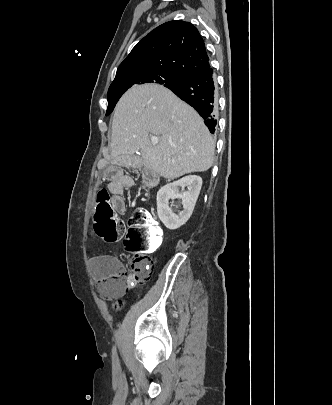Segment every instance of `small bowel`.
Returning <instances> with one entry per match:
<instances>
[{
	"instance_id": "1",
	"label": "small bowel",
	"mask_w": 332,
	"mask_h": 405,
	"mask_svg": "<svg viewBox=\"0 0 332 405\" xmlns=\"http://www.w3.org/2000/svg\"><path fill=\"white\" fill-rule=\"evenodd\" d=\"M103 176L107 177L106 185L113 192L110 204L115 215H127L128 208L125 206V194L122 190L129 187L131 178L125 175V168H121L119 162H112L110 168L103 169ZM115 177H119V180L117 181ZM89 262L95 276L101 280L122 270L120 261L108 254L91 256Z\"/></svg>"
}]
</instances>
